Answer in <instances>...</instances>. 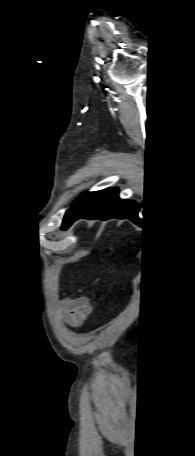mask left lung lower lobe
Returning a JSON list of instances; mask_svg holds the SVG:
<instances>
[{
  "label": "left lung lower lobe",
  "instance_id": "0a47b994",
  "mask_svg": "<svg viewBox=\"0 0 195 456\" xmlns=\"http://www.w3.org/2000/svg\"><path fill=\"white\" fill-rule=\"evenodd\" d=\"M138 210L136 202L120 199L118 189L109 188L99 191L78 212L68 218L62 225V229L68 228L75 220L80 218L101 220L129 218L136 221L138 219Z\"/></svg>",
  "mask_w": 195,
  "mask_h": 456
}]
</instances>
